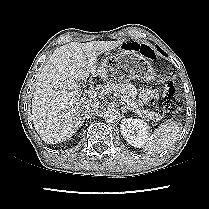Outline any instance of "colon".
Returning <instances> with one entry per match:
<instances>
[{"mask_svg":"<svg viewBox=\"0 0 209 209\" xmlns=\"http://www.w3.org/2000/svg\"><path fill=\"white\" fill-rule=\"evenodd\" d=\"M125 49L135 51L147 59H154V49L146 43L128 42ZM182 107V99L172 83H168L163 94V113L167 119L175 117Z\"/></svg>","mask_w":209,"mask_h":209,"instance_id":"colon-1","label":"colon"}]
</instances>
